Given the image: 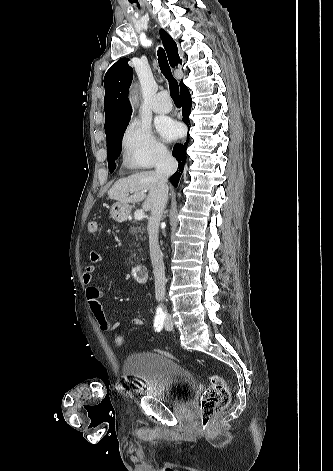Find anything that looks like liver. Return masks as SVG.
I'll return each instance as SVG.
<instances>
[{"label": "liver", "mask_w": 333, "mask_h": 471, "mask_svg": "<svg viewBox=\"0 0 333 471\" xmlns=\"http://www.w3.org/2000/svg\"><path fill=\"white\" fill-rule=\"evenodd\" d=\"M149 192L146 195V192ZM129 193L131 195L129 196ZM160 193L159 179L155 171H143L119 179L108 191V197L122 204L136 203L144 200V211L152 210Z\"/></svg>", "instance_id": "liver-1"}]
</instances>
